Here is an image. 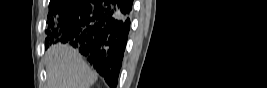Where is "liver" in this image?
Returning <instances> with one entry per match:
<instances>
[{
    "instance_id": "6515ba94",
    "label": "liver",
    "mask_w": 267,
    "mask_h": 88,
    "mask_svg": "<svg viewBox=\"0 0 267 88\" xmlns=\"http://www.w3.org/2000/svg\"><path fill=\"white\" fill-rule=\"evenodd\" d=\"M48 88H90L97 75L69 45H52L45 53Z\"/></svg>"
}]
</instances>
